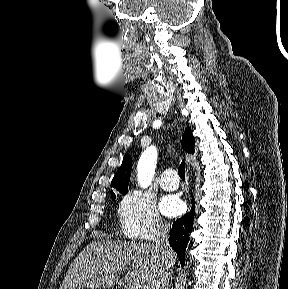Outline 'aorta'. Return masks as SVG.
<instances>
[{"instance_id":"762f6f07","label":"aorta","mask_w":288,"mask_h":289,"mask_svg":"<svg viewBox=\"0 0 288 289\" xmlns=\"http://www.w3.org/2000/svg\"><path fill=\"white\" fill-rule=\"evenodd\" d=\"M156 162L157 150L154 146H151L143 152L137 166L138 182L141 187L146 188L151 184L155 173Z\"/></svg>"}]
</instances>
